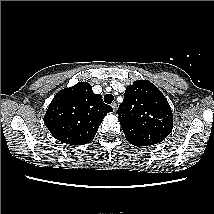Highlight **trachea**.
<instances>
[{"instance_id":"1","label":"trachea","mask_w":214,"mask_h":214,"mask_svg":"<svg viewBox=\"0 0 214 214\" xmlns=\"http://www.w3.org/2000/svg\"><path fill=\"white\" fill-rule=\"evenodd\" d=\"M113 99H114V97H113L112 94H106V95L104 96V101H105V103H107V104H111L112 101H113Z\"/></svg>"}]
</instances>
